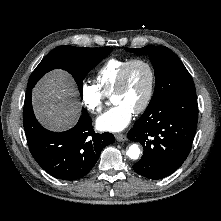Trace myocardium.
Listing matches in <instances>:
<instances>
[{
    "label": "myocardium",
    "instance_id": "obj_1",
    "mask_svg": "<svg viewBox=\"0 0 221 221\" xmlns=\"http://www.w3.org/2000/svg\"><path fill=\"white\" fill-rule=\"evenodd\" d=\"M135 64H142L143 66L146 67V69L149 73V87H148L147 94L145 96V99L141 103V105L134 111L135 114H140V113L144 112L148 108V106L150 105L151 100L153 98L154 89H155V82H156L155 70H154L152 64L148 60H146L144 58L130 59L123 66V68L119 74V77H118L116 86L114 88V91L112 93V96L120 93L124 89L128 72H129L130 68Z\"/></svg>",
    "mask_w": 221,
    "mask_h": 221
}]
</instances>
